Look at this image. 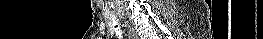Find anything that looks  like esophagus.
Instances as JSON below:
<instances>
[{
  "label": "esophagus",
  "instance_id": "esophagus-1",
  "mask_svg": "<svg viewBox=\"0 0 263 39\" xmlns=\"http://www.w3.org/2000/svg\"><path fill=\"white\" fill-rule=\"evenodd\" d=\"M125 26L129 39H138L137 33L135 32L134 28L128 24V22H126Z\"/></svg>",
  "mask_w": 263,
  "mask_h": 39
}]
</instances>
